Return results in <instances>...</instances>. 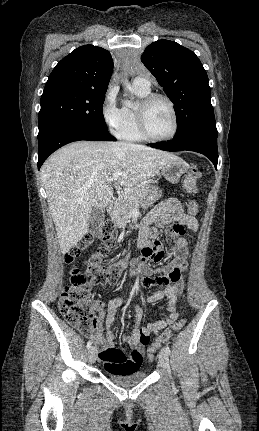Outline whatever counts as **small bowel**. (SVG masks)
I'll return each instance as SVG.
<instances>
[{"label": "small bowel", "instance_id": "small-bowel-1", "mask_svg": "<svg viewBox=\"0 0 259 431\" xmlns=\"http://www.w3.org/2000/svg\"><path fill=\"white\" fill-rule=\"evenodd\" d=\"M189 210L176 198H168L158 203L141 224L139 247L142 248L155 240L159 234V229L170 222H178L195 232L198 224L195 217L188 214ZM188 245L189 243L185 238H178L175 242L173 259L159 269L157 275H154L155 272L147 268L145 263L137 262L136 266L142 268L144 275L135 277V280L141 282L144 287L160 288L162 285L164 286V289L150 295L147 302L153 304L167 299V314L162 320L141 327L143 309L134 302L135 321L132 331L131 334L124 335L122 338L131 347L129 352L114 348L113 323L117 309L130 303L131 299L121 296L108 303L93 301L96 310L100 312L99 325L94 338L99 347V359L106 370L122 371L128 365L133 366L135 370L138 369L143 361L144 344L140 342L141 332L144 331L150 335L157 334L177 320V299L182 295L185 288L182 272L187 268ZM136 272H139V269H136ZM131 275H135V272H131ZM132 351H135V354H132Z\"/></svg>", "mask_w": 259, "mask_h": 431}]
</instances>
